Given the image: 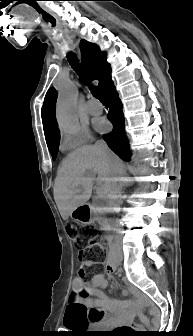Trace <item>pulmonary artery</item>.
<instances>
[{
	"label": "pulmonary artery",
	"instance_id": "obj_1",
	"mask_svg": "<svg viewBox=\"0 0 193 336\" xmlns=\"http://www.w3.org/2000/svg\"><path fill=\"white\" fill-rule=\"evenodd\" d=\"M85 107H86L87 112L92 114V115H98L103 110L102 105L98 101H96L95 99H90L86 103Z\"/></svg>",
	"mask_w": 193,
	"mask_h": 336
}]
</instances>
